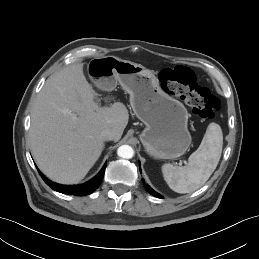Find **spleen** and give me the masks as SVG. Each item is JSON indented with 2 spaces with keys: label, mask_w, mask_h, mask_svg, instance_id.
I'll use <instances>...</instances> for the list:
<instances>
[{
  "label": "spleen",
  "mask_w": 259,
  "mask_h": 259,
  "mask_svg": "<svg viewBox=\"0 0 259 259\" xmlns=\"http://www.w3.org/2000/svg\"><path fill=\"white\" fill-rule=\"evenodd\" d=\"M223 147L221 127L212 122L198 149L188 158L186 166L162 165L164 180L177 193H190L199 189L216 169Z\"/></svg>",
  "instance_id": "spleen-1"
}]
</instances>
